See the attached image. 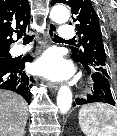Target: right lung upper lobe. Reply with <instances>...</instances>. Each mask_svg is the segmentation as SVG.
<instances>
[{
  "mask_svg": "<svg viewBox=\"0 0 117 136\" xmlns=\"http://www.w3.org/2000/svg\"><path fill=\"white\" fill-rule=\"evenodd\" d=\"M29 21L30 8L27 0H0V52L10 50V45L14 42L11 38L13 32H24Z\"/></svg>",
  "mask_w": 117,
  "mask_h": 136,
  "instance_id": "right-lung-upper-lobe-1",
  "label": "right lung upper lobe"
}]
</instances>
